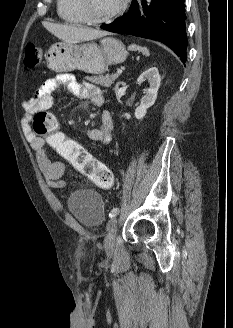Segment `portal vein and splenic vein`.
<instances>
[{
  "label": "portal vein and splenic vein",
  "mask_w": 233,
  "mask_h": 328,
  "mask_svg": "<svg viewBox=\"0 0 233 328\" xmlns=\"http://www.w3.org/2000/svg\"><path fill=\"white\" fill-rule=\"evenodd\" d=\"M122 73V70L121 69H118L116 74H121Z\"/></svg>",
  "instance_id": "obj_1"
}]
</instances>
